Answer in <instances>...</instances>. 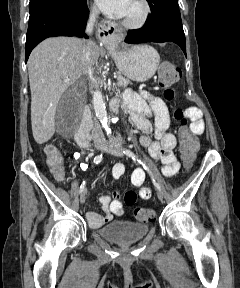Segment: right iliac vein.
Instances as JSON below:
<instances>
[{
    "instance_id": "obj_1",
    "label": "right iliac vein",
    "mask_w": 240,
    "mask_h": 288,
    "mask_svg": "<svg viewBox=\"0 0 240 288\" xmlns=\"http://www.w3.org/2000/svg\"><path fill=\"white\" fill-rule=\"evenodd\" d=\"M96 149L97 150H103L104 149V145H98V146H96ZM85 199H86L85 192H82L81 195H80V203L83 204L85 202Z\"/></svg>"
}]
</instances>
